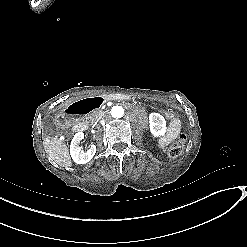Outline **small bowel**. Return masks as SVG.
<instances>
[{
	"mask_svg": "<svg viewBox=\"0 0 247 247\" xmlns=\"http://www.w3.org/2000/svg\"><path fill=\"white\" fill-rule=\"evenodd\" d=\"M180 134H181V123L177 118H174L171 121L166 134L160 138L159 146L161 148L166 147L169 143L176 140Z\"/></svg>",
	"mask_w": 247,
	"mask_h": 247,
	"instance_id": "1",
	"label": "small bowel"
}]
</instances>
